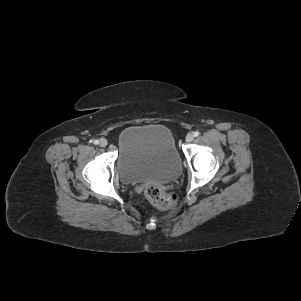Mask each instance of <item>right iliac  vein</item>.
Segmentation results:
<instances>
[{
	"mask_svg": "<svg viewBox=\"0 0 301 301\" xmlns=\"http://www.w3.org/2000/svg\"><path fill=\"white\" fill-rule=\"evenodd\" d=\"M107 144H108V141H107L106 139H104V138L100 139L99 145H100L101 147L104 148V147L107 146Z\"/></svg>",
	"mask_w": 301,
	"mask_h": 301,
	"instance_id": "1",
	"label": "right iliac vein"
}]
</instances>
